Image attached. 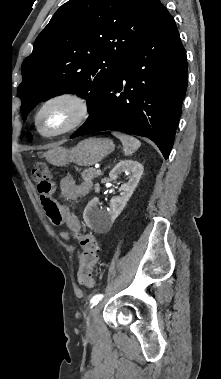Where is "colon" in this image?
I'll return each instance as SVG.
<instances>
[{"label":"colon","mask_w":221,"mask_h":379,"mask_svg":"<svg viewBox=\"0 0 221 379\" xmlns=\"http://www.w3.org/2000/svg\"><path fill=\"white\" fill-rule=\"evenodd\" d=\"M32 178L37 182L38 191L41 195H47L51 191L53 187L52 172L48 165L36 163L32 170ZM75 237L83 249L78 270V281L83 286L92 287L95 283L92 272L99 257L98 242L89 233H76Z\"/></svg>","instance_id":"5ec220e1"}]
</instances>
